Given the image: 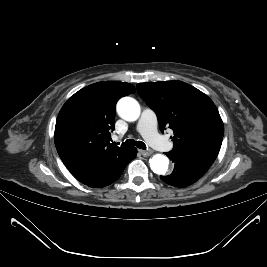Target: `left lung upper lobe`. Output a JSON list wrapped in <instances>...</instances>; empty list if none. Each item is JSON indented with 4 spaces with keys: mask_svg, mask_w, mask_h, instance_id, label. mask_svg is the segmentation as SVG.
Listing matches in <instances>:
<instances>
[{
    "mask_svg": "<svg viewBox=\"0 0 267 267\" xmlns=\"http://www.w3.org/2000/svg\"><path fill=\"white\" fill-rule=\"evenodd\" d=\"M140 97L155 111L161 132L174 131L172 151L212 164L224 134L219 112L203 92L181 81L139 83Z\"/></svg>",
    "mask_w": 267,
    "mask_h": 267,
    "instance_id": "obj_1",
    "label": "left lung upper lobe"
}]
</instances>
